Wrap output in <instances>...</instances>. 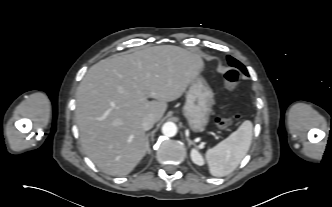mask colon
Masks as SVG:
<instances>
[{"label": "colon", "mask_w": 332, "mask_h": 207, "mask_svg": "<svg viewBox=\"0 0 332 207\" xmlns=\"http://www.w3.org/2000/svg\"><path fill=\"white\" fill-rule=\"evenodd\" d=\"M223 83L226 89L233 90L239 83V73L235 69L228 70L223 77ZM240 119V113L235 111L229 117H218L215 119V123L220 129H227L232 124L236 123Z\"/></svg>", "instance_id": "colon-1"}]
</instances>
